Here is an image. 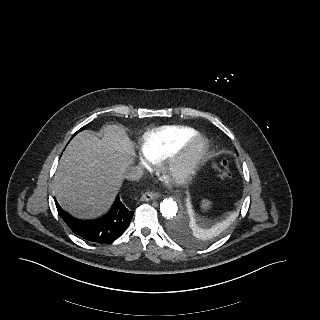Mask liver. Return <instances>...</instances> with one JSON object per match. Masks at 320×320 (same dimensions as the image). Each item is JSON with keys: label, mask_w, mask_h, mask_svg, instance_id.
I'll return each instance as SVG.
<instances>
[{"label": "liver", "mask_w": 320, "mask_h": 320, "mask_svg": "<svg viewBox=\"0 0 320 320\" xmlns=\"http://www.w3.org/2000/svg\"><path fill=\"white\" fill-rule=\"evenodd\" d=\"M102 138L83 131L71 140L54 178L59 204L77 218H94L113 202L134 155L125 129L112 124Z\"/></svg>", "instance_id": "6515ba94"}]
</instances>
